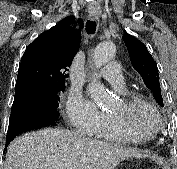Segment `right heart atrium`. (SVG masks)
I'll list each match as a JSON object with an SVG mask.
<instances>
[{"label":"right heart atrium","instance_id":"d8ad5b80","mask_svg":"<svg viewBox=\"0 0 177 169\" xmlns=\"http://www.w3.org/2000/svg\"><path fill=\"white\" fill-rule=\"evenodd\" d=\"M66 115L77 132L90 135L101 126L104 114L81 93L71 92L66 103Z\"/></svg>","mask_w":177,"mask_h":169}]
</instances>
